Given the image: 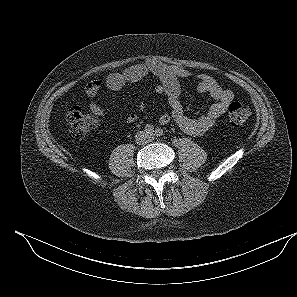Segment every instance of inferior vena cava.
<instances>
[{
  "label": "inferior vena cava",
  "mask_w": 297,
  "mask_h": 297,
  "mask_svg": "<svg viewBox=\"0 0 297 297\" xmlns=\"http://www.w3.org/2000/svg\"><path fill=\"white\" fill-rule=\"evenodd\" d=\"M141 134H142V133L138 134V136H137V138H136L137 141L140 142V143H147L148 140H147V139H142V138H141Z\"/></svg>",
  "instance_id": "1"
}]
</instances>
